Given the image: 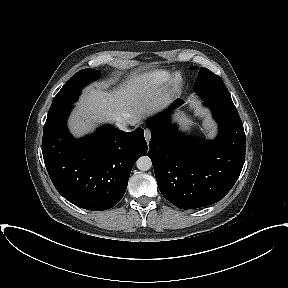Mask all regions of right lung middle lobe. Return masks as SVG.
<instances>
[{
  "label": "right lung middle lobe",
  "mask_w": 288,
  "mask_h": 288,
  "mask_svg": "<svg viewBox=\"0 0 288 288\" xmlns=\"http://www.w3.org/2000/svg\"><path fill=\"white\" fill-rule=\"evenodd\" d=\"M99 75L100 71L93 69H83L73 75L53 99L48 116L65 107L71 106L78 99L82 88L98 78Z\"/></svg>",
  "instance_id": "obj_1"
}]
</instances>
